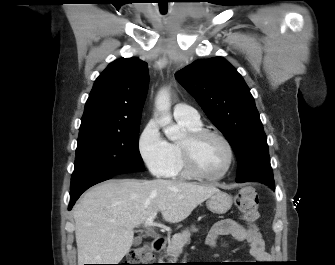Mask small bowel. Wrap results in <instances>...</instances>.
<instances>
[{"instance_id":"c3829d8e","label":"small bowel","mask_w":335,"mask_h":265,"mask_svg":"<svg viewBox=\"0 0 335 265\" xmlns=\"http://www.w3.org/2000/svg\"><path fill=\"white\" fill-rule=\"evenodd\" d=\"M222 236H231L239 242H246L250 255L256 261L263 263L262 261L268 259L264 240L257 229L246 228L233 219H223L212 226L206 237V244L216 247L218 239Z\"/></svg>"}]
</instances>
